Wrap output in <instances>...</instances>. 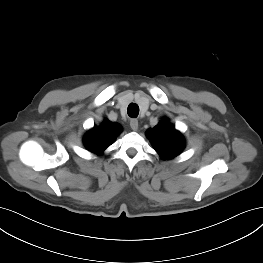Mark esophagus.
Listing matches in <instances>:
<instances>
[{
  "label": "esophagus",
  "mask_w": 263,
  "mask_h": 263,
  "mask_svg": "<svg viewBox=\"0 0 263 263\" xmlns=\"http://www.w3.org/2000/svg\"><path fill=\"white\" fill-rule=\"evenodd\" d=\"M138 120L137 119H131L130 120V127L132 130L137 131L138 130Z\"/></svg>",
  "instance_id": "esophagus-1"
}]
</instances>
